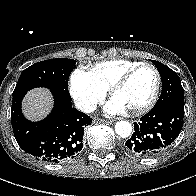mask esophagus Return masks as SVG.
<instances>
[{
    "label": "esophagus",
    "instance_id": "esophagus-1",
    "mask_svg": "<svg viewBox=\"0 0 196 196\" xmlns=\"http://www.w3.org/2000/svg\"><path fill=\"white\" fill-rule=\"evenodd\" d=\"M101 122H107V123H110V122H112V120H103V119H101Z\"/></svg>",
    "mask_w": 196,
    "mask_h": 196
}]
</instances>
